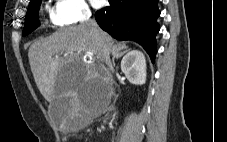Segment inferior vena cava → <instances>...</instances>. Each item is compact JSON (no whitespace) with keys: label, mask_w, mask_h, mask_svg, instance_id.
Returning a JSON list of instances; mask_svg holds the SVG:
<instances>
[{"label":"inferior vena cava","mask_w":227,"mask_h":142,"mask_svg":"<svg viewBox=\"0 0 227 142\" xmlns=\"http://www.w3.org/2000/svg\"><path fill=\"white\" fill-rule=\"evenodd\" d=\"M82 25L89 28L93 38L99 43V46L102 50L103 57H104V60L107 64V66L109 67V69L111 71H113V67H112V64L110 62V50L101 37L100 28H99L97 22L94 19L91 18V12L87 11V12L84 13V16H83V19H82ZM105 76H107V78H109L110 73H109L108 70L106 71Z\"/></svg>","instance_id":"obj_1"}]
</instances>
